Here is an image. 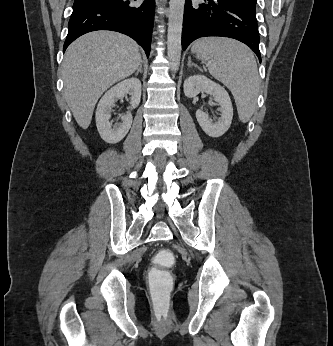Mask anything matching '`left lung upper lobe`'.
I'll use <instances>...</instances> for the list:
<instances>
[{"instance_id":"5c2ea615","label":"left lung upper lobe","mask_w":333,"mask_h":346,"mask_svg":"<svg viewBox=\"0 0 333 346\" xmlns=\"http://www.w3.org/2000/svg\"><path fill=\"white\" fill-rule=\"evenodd\" d=\"M234 1L240 4H243L245 6H248L254 10H255L256 2H257L256 0H234Z\"/></svg>"}]
</instances>
